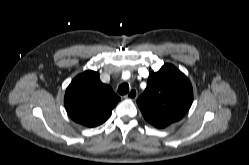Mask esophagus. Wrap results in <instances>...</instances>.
I'll return each mask as SVG.
<instances>
[{"label":"esophagus","mask_w":249,"mask_h":165,"mask_svg":"<svg viewBox=\"0 0 249 165\" xmlns=\"http://www.w3.org/2000/svg\"><path fill=\"white\" fill-rule=\"evenodd\" d=\"M138 96V92L136 89H131L129 93L126 95V98L135 100Z\"/></svg>","instance_id":"34e87169"}]
</instances>
